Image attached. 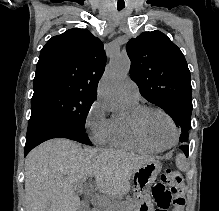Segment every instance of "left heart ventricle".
<instances>
[{
	"instance_id": "obj_1",
	"label": "left heart ventricle",
	"mask_w": 219,
	"mask_h": 211,
	"mask_svg": "<svg viewBox=\"0 0 219 211\" xmlns=\"http://www.w3.org/2000/svg\"><path fill=\"white\" fill-rule=\"evenodd\" d=\"M145 130L151 141L159 147H167L174 142L175 135L172 125L160 113L152 112L146 116Z\"/></svg>"
}]
</instances>
